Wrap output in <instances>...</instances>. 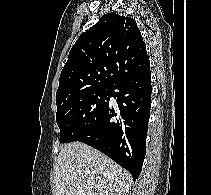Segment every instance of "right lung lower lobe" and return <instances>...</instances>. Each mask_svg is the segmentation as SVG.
Here are the masks:
<instances>
[{"label": "right lung lower lobe", "mask_w": 211, "mask_h": 195, "mask_svg": "<svg viewBox=\"0 0 211 195\" xmlns=\"http://www.w3.org/2000/svg\"><path fill=\"white\" fill-rule=\"evenodd\" d=\"M151 91L150 67L123 77L110 92L118 108L108 104L88 130L75 140L105 153L128 170L134 181L140 175L145 158Z\"/></svg>", "instance_id": "right-lung-lower-lobe-1"}]
</instances>
